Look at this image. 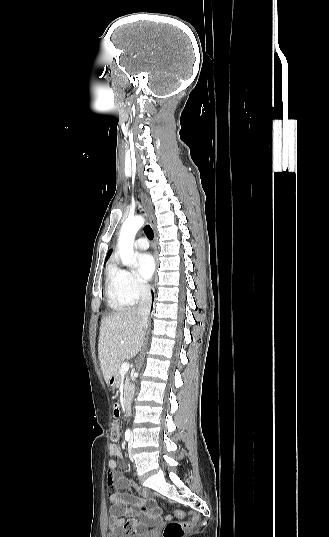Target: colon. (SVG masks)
<instances>
[{"label": "colon", "mask_w": 329, "mask_h": 537, "mask_svg": "<svg viewBox=\"0 0 329 537\" xmlns=\"http://www.w3.org/2000/svg\"><path fill=\"white\" fill-rule=\"evenodd\" d=\"M120 435H121L120 426L118 425L117 422H114L112 429H111V439L113 441H118L120 438ZM183 516H184V512L181 510H176L174 512V517H176L179 520H172L171 515L166 516L168 523L165 526L163 537H184L185 536L191 524L180 520L183 518ZM191 516L194 519H199L201 517V512L199 510H194L192 511Z\"/></svg>", "instance_id": "obj_1"}]
</instances>
